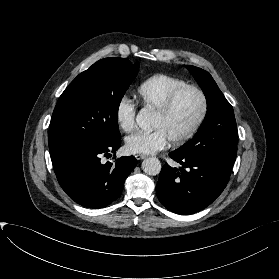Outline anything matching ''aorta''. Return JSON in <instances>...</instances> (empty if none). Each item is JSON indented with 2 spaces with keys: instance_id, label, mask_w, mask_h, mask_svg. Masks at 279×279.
<instances>
[{
  "instance_id": "1",
  "label": "aorta",
  "mask_w": 279,
  "mask_h": 279,
  "mask_svg": "<svg viewBox=\"0 0 279 279\" xmlns=\"http://www.w3.org/2000/svg\"><path fill=\"white\" fill-rule=\"evenodd\" d=\"M153 115L147 108H142L137 116V125L144 131L150 132L152 130ZM142 169L148 175H158L161 171V163L156 157L146 158L142 162Z\"/></svg>"
}]
</instances>
